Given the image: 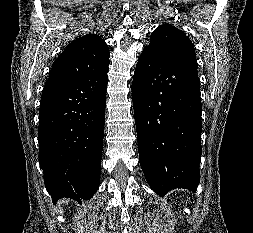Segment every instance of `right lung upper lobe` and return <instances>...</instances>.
<instances>
[{
    "mask_svg": "<svg viewBox=\"0 0 253 233\" xmlns=\"http://www.w3.org/2000/svg\"><path fill=\"white\" fill-rule=\"evenodd\" d=\"M109 50L98 35L87 34L67 45L53 63L49 78H65L108 69Z\"/></svg>",
    "mask_w": 253,
    "mask_h": 233,
    "instance_id": "right-lung-upper-lobe-1",
    "label": "right lung upper lobe"
}]
</instances>
